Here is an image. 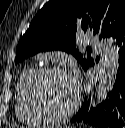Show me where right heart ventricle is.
<instances>
[{
  "mask_svg": "<svg viewBox=\"0 0 125 128\" xmlns=\"http://www.w3.org/2000/svg\"><path fill=\"white\" fill-rule=\"evenodd\" d=\"M33 68H28L20 75L16 85V115L18 119L26 124L37 125L45 121L37 116L29 105L26 96V84L30 76L34 73Z\"/></svg>",
  "mask_w": 125,
  "mask_h": 128,
  "instance_id": "1",
  "label": "right heart ventricle"
}]
</instances>
